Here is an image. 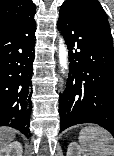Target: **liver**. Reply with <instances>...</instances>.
<instances>
[{"label":"liver","instance_id":"6515ba94","mask_svg":"<svg viewBox=\"0 0 114 156\" xmlns=\"http://www.w3.org/2000/svg\"><path fill=\"white\" fill-rule=\"evenodd\" d=\"M16 136V131L10 127H0V150L11 143Z\"/></svg>","mask_w":114,"mask_h":156}]
</instances>
